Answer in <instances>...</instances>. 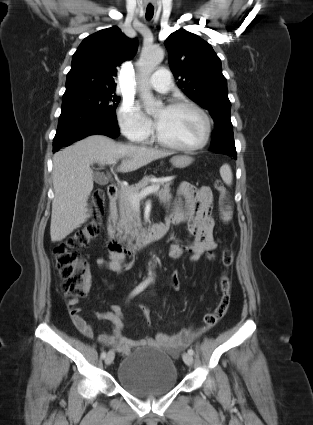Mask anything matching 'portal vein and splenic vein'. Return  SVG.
Returning a JSON list of instances; mask_svg holds the SVG:
<instances>
[{"label":"portal vein and splenic vein","mask_w":313,"mask_h":425,"mask_svg":"<svg viewBox=\"0 0 313 425\" xmlns=\"http://www.w3.org/2000/svg\"><path fill=\"white\" fill-rule=\"evenodd\" d=\"M106 164L108 165H114L116 164V161H109ZM100 165H105V163H101ZM159 190V186H150L144 190H142L140 193L138 194H134V195H130V200L133 203V206L138 208L139 207V202L142 198L146 197L147 195L154 193L156 191Z\"/></svg>","instance_id":"portal-vein-and-splenic-vein-1"}]
</instances>
